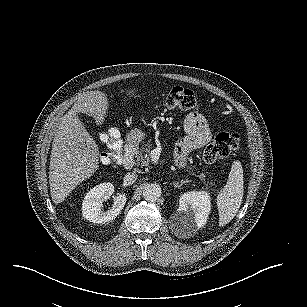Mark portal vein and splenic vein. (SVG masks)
I'll list each match as a JSON object with an SVG mask.
<instances>
[{"mask_svg":"<svg viewBox=\"0 0 307 307\" xmlns=\"http://www.w3.org/2000/svg\"><path fill=\"white\" fill-rule=\"evenodd\" d=\"M150 157H151L152 161L156 162L160 157V150L158 148L153 149L150 152Z\"/></svg>","mask_w":307,"mask_h":307,"instance_id":"1","label":"portal vein and splenic vein"}]
</instances>
